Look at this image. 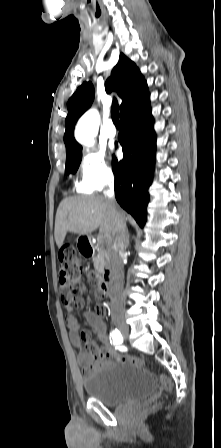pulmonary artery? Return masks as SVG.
Segmentation results:
<instances>
[{
  "label": "pulmonary artery",
  "mask_w": 221,
  "mask_h": 448,
  "mask_svg": "<svg viewBox=\"0 0 221 448\" xmlns=\"http://www.w3.org/2000/svg\"><path fill=\"white\" fill-rule=\"evenodd\" d=\"M106 134L110 139H114L117 135V130L111 120L107 123Z\"/></svg>",
  "instance_id": "obj_1"
}]
</instances>
